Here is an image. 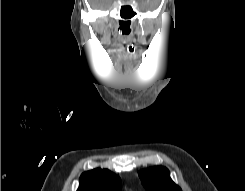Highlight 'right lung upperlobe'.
Listing matches in <instances>:
<instances>
[{"instance_id": "1", "label": "right lung upper lobe", "mask_w": 245, "mask_h": 191, "mask_svg": "<svg viewBox=\"0 0 245 191\" xmlns=\"http://www.w3.org/2000/svg\"><path fill=\"white\" fill-rule=\"evenodd\" d=\"M121 180L108 169L96 168L84 172L77 191H120Z\"/></svg>"}]
</instances>
